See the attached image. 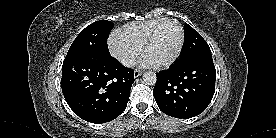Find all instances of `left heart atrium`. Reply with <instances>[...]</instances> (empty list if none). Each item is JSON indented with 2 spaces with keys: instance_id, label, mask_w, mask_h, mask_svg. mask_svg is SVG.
I'll use <instances>...</instances> for the list:
<instances>
[{
  "instance_id": "left-heart-atrium-1",
  "label": "left heart atrium",
  "mask_w": 276,
  "mask_h": 138,
  "mask_svg": "<svg viewBox=\"0 0 276 138\" xmlns=\"http://www.w3.org/2000/svg\"><path fill=\"white\" fill-rule=\"evenodd\" d=\"M140 64L142 65V66H153L154 64L147 58V57H144L142 60H141V62H140Z\"/></svg>"
}]
</instances>
